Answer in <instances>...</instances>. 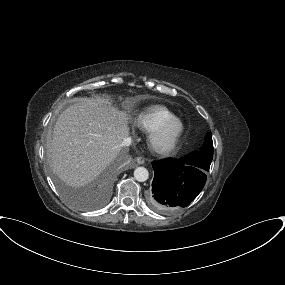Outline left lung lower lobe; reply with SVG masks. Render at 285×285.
Segmentation results:
<instances>
[{
	"label": "left lung lower lobe",
	"mask_w": 285,
	"mask_h": 285,
	"mask_svg": "<svg viewBox=\"0 0 285 285\" xmlns=\"http://www.w3.org/2000/svg\"><path fill=\"white\" fill-rule=\"evenodd\" d=\"M154 179L148 201L161 213L188 206L203 189L207 171L180 159L152 162Z\"/></svg>",
	"instance_id": "1"
}]
</instances>
